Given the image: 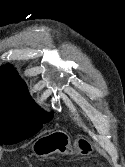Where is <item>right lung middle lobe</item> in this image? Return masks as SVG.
Wrapping results in <instances>:
<instances>
[{"mask_svg":"<svg viewBox=\"0 0 125 167\" xmlns=\"http://www.w3.org/2000/svg\"><path fill=\"white\" fill-rule=\"evenodd\" d=\"M31 98L0 96V144H15L37 133L52 119Z\"/></svg>","mask_w":125,"mask_h":167,"instance_id":"1","label":"right lung middle lobe"}]
</instances>
